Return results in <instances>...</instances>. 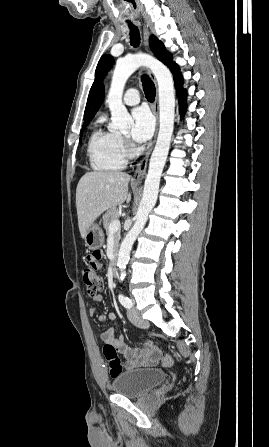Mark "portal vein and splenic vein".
Returning <instances> with one entry per match:
<instances>
[{
  "instance_id": "18ae733b",
  "label": "portal vein and splenic vein",
  "mask_w": 269,
  "mask_h": 447,
  "mask_svg": "<svg viewBox=\"0 0 269 447\" xmlns=\"http://www.w3.org/2000/svg\"><path fill=\"white\" fill-rule=\"evenodd\" d=\"M119 227H120L119 220H113V222H111V224L109 225V231H117Z\"/></svg>"
}]
</instances>
